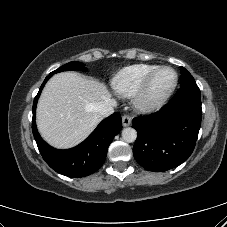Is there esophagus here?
Segmentation results:
<instances>
[{
  "instance_id": "esophagus-1",
  "label": "esophagus",
  "mask_w": 227,
  "mask_h": 227,
  "mask_svg": "<svg viewBox=\"0 0 227 227\" xmlns=\"http://www.w3.org/2000/svg\"><path fill=\"white\" fill-rule=\"evenodd\" d=\"M122 124L124 127L129 126L131 124V117L129 115H124L122 117Z\"/></svg>"
}]
</instances>
